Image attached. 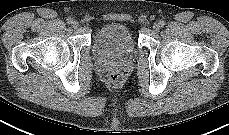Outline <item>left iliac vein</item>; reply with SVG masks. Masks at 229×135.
Wrapping results in <instances>:
<instances>
[{"instance_id":"1","label":"left iliac vein","mask_w":229,"mask_h":135,"mask_svg":"<svg viewBox=\"0 0 229 135\" xmlns=\"http://www.w3.org/2000/svg\"><path fill=\"white\" fill-rule=\"evenodd\" d=\"M160 24L159 23H154V25H153V30L154 31H159V29H160Z\"/></svg>"}]
</instances>
